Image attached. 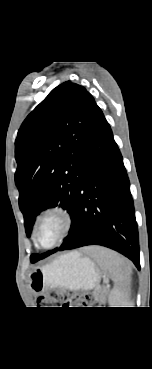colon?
Masks as SVG:
<instances>
[{
  "label": "colon",
  "instance_id": "obj_1",
  "mask_svg": "<svg viewBox=\"0 0 152 369\" xmlns=\"http://www.w3.org/2000/svg\"><path fill=\"white\" fill-rule=\"evenodd\" d=\"M93 299L83 293H70L65 290H56L39 299V304L45 307H87Z\"/></svg>",
  "mask_w": 152,
  "mask_h": 369
}]
</instances>
